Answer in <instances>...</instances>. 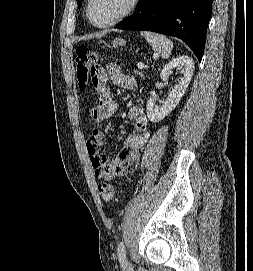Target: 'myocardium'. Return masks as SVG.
Wrapping results in <instances>:
<instances>
[{"label":"myocardium","mask_w":253,"mask_h":271,"mask_svg":"<svg viewBox=\"0 0 253 271\" xmlns=\"http://www.w3.org/2000/svg\"><path fill=\"white\" fill-rule=\"evenodd\" d=\"M139 2H140V0H130L127 9L123 13H121L118 17H116L115 19L111 20L108 23L98 24L94 21L92 15H91V6L93 3V0H88L87 8H86L87 18L90 21V23L97 28H101V29L109 28V27L114 26L117 23L121 22L122 20H124L128 16H130L137 9Z\"/></svg>","instance_id":"obj_1"}]
</instances>
